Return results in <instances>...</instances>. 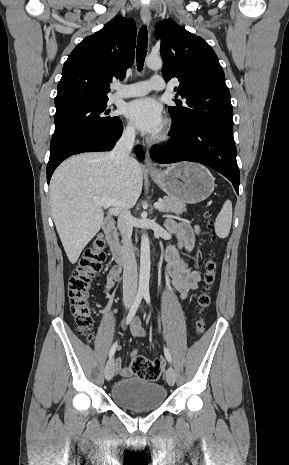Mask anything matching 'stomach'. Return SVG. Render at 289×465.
Listing matches in <instances>:
<instances>
[{"label":"stomach","instance_id":"stomach-1","mask_svg":"<svg viewBox=\"0 0 289 465\" xmlns=\"http://www.w3.org/2000/svg\"><path fill=\"white\" fill-rule=\"evenodd\" d=\"M150 176L169 197L188 204L205 200L215 187L210 171L198 163H176Z\"/></svg>","mask_w":289,"mask_h":465}]
</instances>
